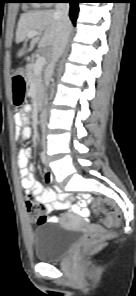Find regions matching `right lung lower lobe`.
<instances>
[{
  "mask_svg": "<svg viewBox=\"0 0 136 296\" xmlns=\"http://www.w3.org/2000/svg\"><path fill=\"white\" fill-rule=\"evenodd\" d=\"M70 3V19L72 20L73 24L75 25L77 14L79 11L78 3L83 2V0H66Z\"/></svg>",
  "mask_w": 136,
  "mask_h": 296,
  "instance_id": "obj_1",
  "label": "right lung lower lobe"
}]
</instances>
